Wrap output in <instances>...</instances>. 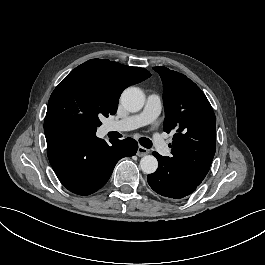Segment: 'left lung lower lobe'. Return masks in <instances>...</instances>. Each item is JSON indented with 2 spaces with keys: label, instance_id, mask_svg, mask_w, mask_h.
<instances>
[{
  "label": "left lung lower lobe",
  "instance_id": "left-lung-lower-lobe-1",
  "mask_svg": "<svg viewBox=\"0 0 265 265\" xmlns=\"http://www.w3.org/2000/svg\"><path fill=\"white\" fill-rule=\"evenodd\" d=\"M152 154L157 158L159 167L156 172L148 175L147 180L150 187L159 195L180 199L193 193L200 185L180 168L168 162L166 157L157 152Z\"/></svg>",
  "mask_w": 265,
  "mask_h": 265
}]
</instances>
